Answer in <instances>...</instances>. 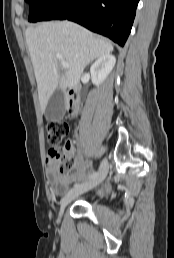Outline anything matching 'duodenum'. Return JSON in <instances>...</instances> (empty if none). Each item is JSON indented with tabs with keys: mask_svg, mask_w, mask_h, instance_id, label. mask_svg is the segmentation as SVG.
Segmentation results:
<instances>
[{
	"mask_svg": "<svg viewBox=\"0 0 174 258\" xmlns=\"http://www.w3.org/2000/svg\"><path fill=\"white\" fill-rule=\"evenodd\" d=\"M68 111L71 117H75L79 110V95L77 89H70L67 96Z\"/></svg>",
	"mask_w": 174,
	"mask_h": 258,
	"instance_id": "410a0bca",
	"label": "duodenum"
}]
</instances>
